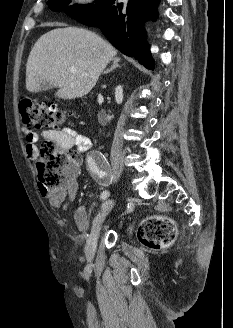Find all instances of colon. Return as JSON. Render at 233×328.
Returning <instances> with one entry per match:
<instances>
[{
	"mask_svg": "<svg viewBox=\"0 0 233 328\" xmlns=\"http://www.w3.org/2000/svg\"><path fill=\"white\" fill-rule=\"evenodd\" d=\"M19 111L28 127L59 128L73 113H66L52 103H39L29 97L19 101ZM77 153L64 151L53 140H45L36 159L40 186L53 191L64 186L76 174ZM139 241L151 249H162L172 244L176 236L174 224L163 217L145 219L138 228Z\"/></svg>",
	"mask_w": 233,
	"mask_h": 328,
	"instance_id": "colon-1",
	"label": "colon"
}]
</instances>
